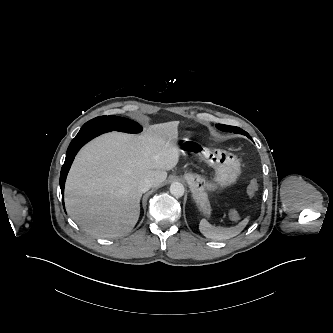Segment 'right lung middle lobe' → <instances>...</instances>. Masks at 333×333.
Returning <instances> with one entry per match:
<instances>
[{
  "instance_id": "dd1d6c3e",
  "label": "right lung middle lobe",
  "mask_w": 333,
  "mask_h": 333,
  "mask_svg": "<svg viewBox=\"0 0 333 333\" xmlns=\"http://www.w3.org/2000/svg\"><path fill=\"white\" fill-rule=\"evenodd\" d=\"M88 128H109L127 133H137L142 130V127L138 123L113 115L96 117L85 123L81 130Z\"/></svg>"
}]
</instances>
